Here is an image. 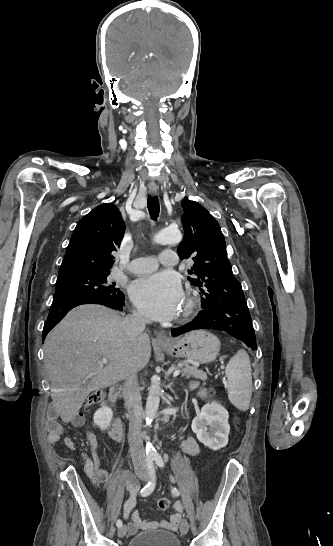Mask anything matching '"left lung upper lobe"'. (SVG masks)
Returning a JSON list of instances; mask_svg holds the SVG:
<instances>
[{
  "mask_svg": "<svg viewBox=\"0 0 333 546\" xmlns=\"http://www.w3.org/2000/svg\"><path fill=\"white\" fill-rule=\"evenodd\" d=\"M181 205L185 232L177 253L180 259L191 257L194 261L188 273L196 278L189 277V281L200 289L202 299L210 297L223 303L245 301L241 284L233 275L227 258L225 239L218 222L197 202L182 200Z\"/></svg>",
  "mask_w": 333,
  "mask_h": 546,
  "instance_id": "1",
  "label": "left lung upper lobe"
}]
</instances>
